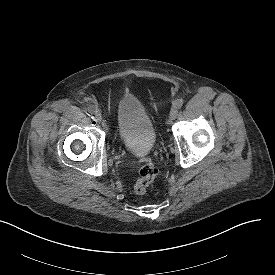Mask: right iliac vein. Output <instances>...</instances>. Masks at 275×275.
Masks as SVG:
<instances>
[{"label":"right iliac vein","instance_id":"obj_1","mask_svg":"<svg viewBox=\"0 0 275 275\" xmlns=\"http://www.w3.org/2000/svg\"><path fill=\"white\" fill-rule=\"evenodd\" d=\"M94 115L96 120L100 121L102 119L101 113L98 109H95Z\"/></svg>","mask_w":275,"mask_h":275}]
</instances>
